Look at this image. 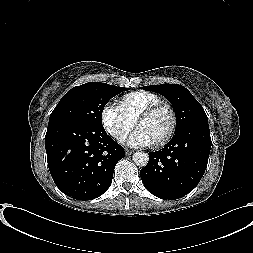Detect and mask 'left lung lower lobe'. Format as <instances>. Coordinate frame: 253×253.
Returning a JSON list of instances; mask_svg holds the SVG:
<instances>
[{"instance_id": "0a47b994", "label": "left lung lower lobe", "mask_w": 253, "mask_h": 253, "mask_svg": "<svg viewBox=\"0 0 253 253\" xmlns=\"http://www.w3.org/2000/svg\"><path fill=\"white\" fill-rule=\"evenodd\" d=\"M210 149L208 125L193 124L178 130L161 151L148 153L149 162L140 170L144 186L164 200L185 196L200 182Z\"/></svg>"}]
</instances>
